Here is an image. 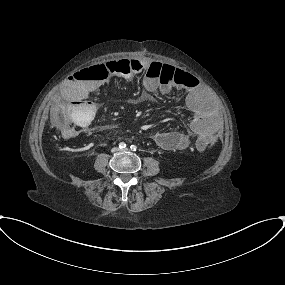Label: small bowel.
<instances>
[{
    "mask_svg": "<svg viewBox=\"0 0 285 285\" xmlns=\"http://www.w3.org/2000/svg\"><path fill=\"white\" fill-rule=\"evenodd\" d=\"M140 64L139 71L147 72L153 60H132ZM185 83L177 86L176 90L184 92V106L191 113L192 120L189 130L159 131L154 133L152 139L154 143L164 150H181L190 145V131L197 136L196 146L202 149L201 138L206 134H217L219 124L214 116L205 106V93L203 88L196 84V78L193 74L183 71ZM105 82V78L100 80H82L69 77L61 88L62 98L69 104V108L75 111V122L84 129L87 126L80 124V117L86 118L95 113L94 105L89 101V96L95 90L100 88ZM143 86L149 92L157 90L163 93H169L173 88L161 85L156 79L145 76ZM79 131L70 133L69 137H75Z\"/></svg>",
    "mask_w": 285,
    "mask_h": 285,
    "instance_id": "1",
    "label": "small bowel"
}]
</instances>
